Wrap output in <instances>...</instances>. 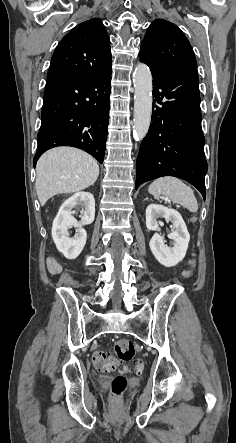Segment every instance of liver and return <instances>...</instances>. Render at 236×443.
<instances>
[{
	"label": "liver",
	"mask_w": 236,
	"mask_h": 443,
	"mask_svg": "<svg viewBox=\"0 0 236 443\" xmlns=\"http://www.w3.org/2000/svg\"><path fill=\"white\" fill-rule=\"evenodd\" d=\"M36 191L42 206L57 194L79 192L93 185L99 175L97 161L72 147L45 152L36 165Z\"/></svg>",
	"instance_id": "1"
}]
</instances>
